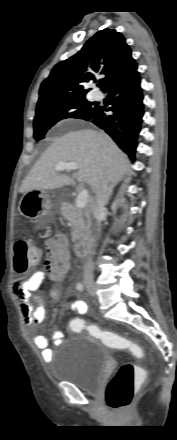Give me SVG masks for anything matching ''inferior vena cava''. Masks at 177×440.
<instances>
[{
    "mask_svg": "<svg viewBox=\"0 0 177 440\" xmlns=\"http://www.w3.org/2000/svg\"><path fill=\"white\" fill-rule=\"evenodd\" d=\"M108 181L102 178L95 189V202L93 205V215L97 217L100 213L104 211V207L107 203L108 196ZM84 279H93V264L91 258H88L84 265Z\"/></svg>",
    "mask_w": 177,
    "mask_h": 440,
    "instance_id": "inferior-vena-cava-1",
    "label": "inferior vena cava"
}]
</instances>
